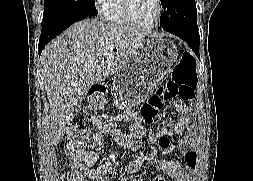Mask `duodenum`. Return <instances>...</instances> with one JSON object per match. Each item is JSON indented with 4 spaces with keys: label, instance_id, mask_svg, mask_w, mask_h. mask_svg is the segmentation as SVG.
Masks as SVG:
<instances>
[{
    "label": "duodenum",
    "instance_id": "1",
    "mask_svg": "<svg viewBox=\"0 0 253 181\" xmlns=\"http://www.w3.org/2000/svg\"><path fill=\"white\" fill-rule=\"evenodd\" d=\"M105 88L102 85H94L91 87L89 94L93 99H100L104 93H105Z\"/></svg>",
    "mask_w": 253,
    "mask_h": 181
}]
</instances>
